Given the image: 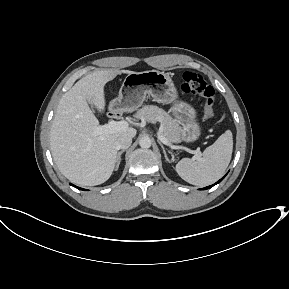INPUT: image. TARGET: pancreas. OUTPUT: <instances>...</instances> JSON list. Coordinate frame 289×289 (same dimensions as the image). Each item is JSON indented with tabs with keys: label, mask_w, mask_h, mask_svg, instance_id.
I'll return each mask as SVG.
<instances>
[{
	"label": "pancreas",
	"mask_w": 289,
	"mask_h": 289,
	"mask_svg": "<svg viewBox=\"0 0 289 289\" xmlns=\"http://www.w3.org/2000/svg\"><path fill=\"white\" fill-rule=\"evenodd\" d=\"M135 117L151 123L159 121L162 125L161 132L170 143L180 141L181 127L179 123L163 109L157 106L147 105L140 109Z\"/></svg>",
	"instance_id": "1"
}]
</instances>
